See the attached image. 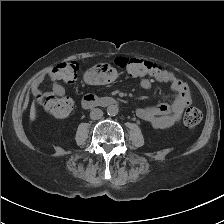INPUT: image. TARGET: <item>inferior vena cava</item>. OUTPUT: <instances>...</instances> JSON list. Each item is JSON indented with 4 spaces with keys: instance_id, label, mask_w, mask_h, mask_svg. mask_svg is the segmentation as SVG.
Wrapping results in <instances>:
<instances>
[{
    "instance_id": "obj_1",
    "label": "inferior vena cava",
    "mask_w": 224,
    "mask_h": 224,
    "mask_svg": "<svg viewBox=\"0 0 224 224\" xmlns=\"http://www.w3.org/2000/svg\"><path fill=\"white\" fill-rule=\"evenodd\" d=\"M103 116V111L101 109H93L90 113V118L92 120H98Z\"/></svg>"
}]
</instances>
